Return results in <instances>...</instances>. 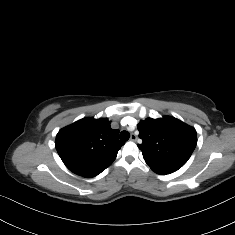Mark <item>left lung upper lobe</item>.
Here are the masks:
<instances>
[{"instance_id": "5c2ea615", "label": "left lung upper lobe", "mask_w": 235, "mask_h": 235, "mask_svg": "<svg viewBox=\"0 0 235 235\" xmlns=\"http://www.w3.org/2000/svg\"><path fill=\"white\" fill-rule=\"evenodd\" d=\"M142 143L138 148L145 160L182 167L190 158L196 144V130L171 116L147 118L137 126Z\"/></svg>"}]
</instances>
